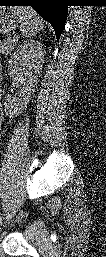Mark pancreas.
Wrapping results in <instances>:
<instances>
[{
	"label": "pancreas",
	"instance_id": "cf45deb5",
	"mask_svg": "<svg viewBox=\"0 0 106 257\" xmlns=\"http://www.w3.org/2000/svg\"><path fill=\"white\" fill-rule=\"evenodd\" d=\"M19 38L15 37H6L0 42V53L2 55H8L16 46Z\"/></svg>",
	"mask_w": 106,
	"mask_h": 257
}]
</instances>
